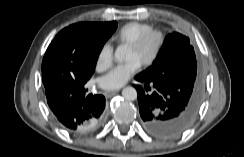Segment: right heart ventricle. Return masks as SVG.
Listing matches in <instances>:
<instances>
[{
    "label": "right heart ventricle",
    "instance_id": "right-heart-ventricle-1",
    "mask_svg": "<svg viewBox=\"0 0 244 157\" xmlns=\"http://www.w3.org/2000/svg\"><path fill=\"white\" fill-rule=\"evenodd\" d=\"M152 26L147 23L131 21L121 26L116 34L115 40L118 44L129 45L143 33L152 30Z\"/></svg>",
    "mask_w": 244,
    "mask_h": 157
}]
</instances>
